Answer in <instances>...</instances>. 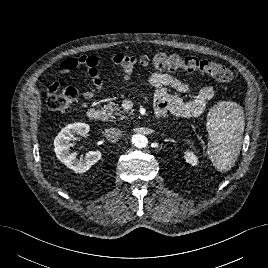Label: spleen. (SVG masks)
Masks as SVG:
<instances>
[{
  "label": "spleen",
  "instance_id": "obj_1",
  "mask_svg": "<svg viewBox=\"0 0 268 268\" xmlns=\"http://www.w3.org/2000/svg\"><path fill=\"white\" fill-rule=\"evenodd\" d=\"M243 108L231 101H220L207 116V156L220 172L230 170L237 161L244 133Z\"/></svg>",
  "mask_w": 268,
  "mask_h": 268
}]
</instances>
